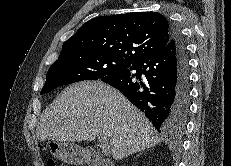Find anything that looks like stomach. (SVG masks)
<instances>
[{"label":"stomach","mask_w":231,"mask_h":166,"mask_svg":"<svg viewBox=\"0 0 231 166\" xmlns=\"http://www.w3.org/2000/svg\"><path fill=\"white\" fill-rule=\"evenodd\" d=\"M48 148L55 158L69 164H82L86 160V151L72 142L53 141Z\"/></svg>","instance_id":"obj_1"}]
</instances>
